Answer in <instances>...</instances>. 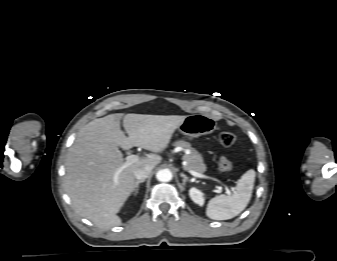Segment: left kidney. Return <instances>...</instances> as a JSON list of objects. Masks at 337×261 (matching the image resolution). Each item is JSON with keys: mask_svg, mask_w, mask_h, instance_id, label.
<instances>
[{"mask_svg": "<svg viewBox=\"0 0 337 261\" xmlns=\"http://www.w3.org/2000/svg\"><path fill=\"white\" fill-rule=\"evenodd\" d=\"M189 196L192 199L193 202H195L196 204L203 206L204 205V194L196 189V188H191L189 190Z\"/></svg>", "mask_w": 337, "mask_h": 261, "instance_id": "5707ae66", "label": "left kidney"}]
</instances>
